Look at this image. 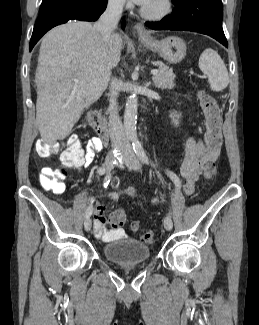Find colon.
I'll use <instances>...</instances> for the list:
<instances>
[{
    "mask_svg": "<svg viewBox=\"0 0 259 325\" xmlns=\"http://www.w3.org/2000/svg\"><path fill=\"white\" fill-rule=\"evenodd\" d=\"M199 105L205 118V134L204 139L206 146L209 150H216L221 143V116L220 109L216 99L206 91L199 92ZM60 148L58 142L47 143L44 141H38L36 144V152L41 157H48ZM83 153V148L80 141L76 137H70L67 141V148L62 153L61 158L64 168L52 169L45 168L41 171L39 181L41 186L48 191L54 193H61L64 190L63 180L67 176L66 167L71 165L80 159ZM216 173L214 165L206 167L204 174L206 178H212ZM126 215L121 209L114 211L109 217V225L112 229H120L125 223ZM131 229L133 231H139L140 222L133 221L131 223ZM155 234L152 230H145L140 240L143 243L151 244L154 241Z\"/></svg>",
    "mask_w": 259,
    "mask_h": 325,
    "instance_id": "colon-1",
    "label": "colon"
}]
</instances>
